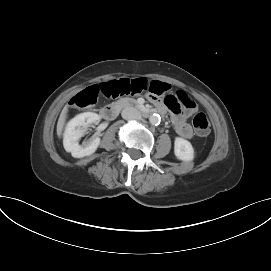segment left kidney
<instances>
[{
	"instance_id": "5707ae66",
	"label": "left kidney",
	"mask_w": 271,
	"mask_h": 271,
	"mask_svg": "<svg viewBox=\"0 0 271 271\" xmlns=\"http://www.w3.org/2000/svg\"><path fill=\"white\" fill-rule=\"evenodd\" d=\"M174 153L182 161H192L194 159V149L191 143L180 137L175 138Z\"/></svg>"
}]
</instances>
